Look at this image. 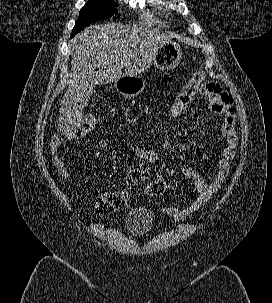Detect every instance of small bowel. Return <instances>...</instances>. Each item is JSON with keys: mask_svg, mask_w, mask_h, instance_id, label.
Masks as SVG:
<instances>
[{"mask_svg": "<svg viewBox=\"0 0 272 303\" xmlns=\"http://www.w3.org/2000/svg\"><path fill=\"white\" fill-rule=\"evenodd\" d=\"M199 93L207 98L208 108L213 114L224 117L221 134L225 139V148L217 162V173L210 182H207L204 177L194 169L185 165L180 166V171L192 182L198 196L183 207L170 206L164 209L167 214L175 219L188 217L197 212L210 200L212 195L215 194L225 182L229 173L230 162L237 153V114L231 95L222 91L217 84L211 82L203 83L199 89ZM195 154L200 159L207 158L201 148H197ZM135 155L139 159L149 163L159 162L162 158L159 152L145 148H136ZM149 176L150 173L147 168L136 166L127 171L125 182L128 186H137L146 181ZM166 190L171 191L172 188L168 185Z\"/></svg>", "mask_w": 272, "mask_h": 303, "instance_id": "obj_1", "label": "small bowel"}]
</instances>
